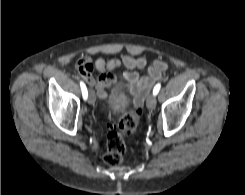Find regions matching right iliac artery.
<instances>
[{
	"instance_id": "right-iliac-artery-1",
	"label": "right iliac artery",
	"mask_w": 245,
	"mask_h": 195,
	"mask_svg": "<svg viewBox=\"0 0 245 195\" xmlns=\"http://www.w3.org/2000/svg\"><path fill=\"white\" fill-rule=\"evenodd\" d=\"M80 87H81V91H82V96H83L84 100H86L88 97V91H87L86 85L84 84L83 81H80Z\"/></svg>"
}]
</instances>
